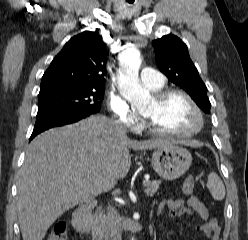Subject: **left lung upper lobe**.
<instances>
[{
    "instance_id": "1",
    "label": "left lung upper lobe",
    "mask_w": 248,
    "mask_h": 240,
    "mask_svg": "<svg viewBox=\"0 0 248 240\" xmlns=\"http://www.w3.org/2000/svg\"><path fill=\"white\" fill-rule=\"evenodd\" d=\"M152 45L159 70L183 88L205 113H210L206 85L190 59L186 44L177 36L169 34L153 41Z\"/></svg>"
}]
</instances>
